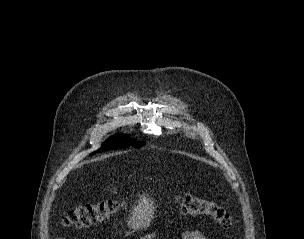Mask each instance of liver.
Wrapping results in <instances>:
<instances>
[{"mask_svg":"<svg viewBox=\"0 0 304 239\" xmlns=\"http://www.w3.org/2000/svg\"><path fill=\"white\" fill-rule=\"evenodd\" d=\"M139 197L138 204L134 206L131 212L132 216L127 221L128 225L134 230L148 227L156 210L154 200L148 194L144 193Z\"/></svg>","mask_w":304,"mask_h":239,"instance_id":"6515ba94","label":"liver"}]
</instances>
